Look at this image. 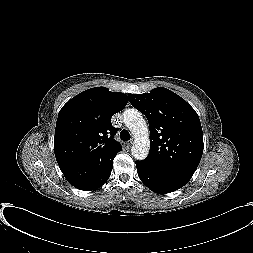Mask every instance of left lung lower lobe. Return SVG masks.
Segmentation results:
<instances>
[{
  "mask_svg": "<svg viewBox=\"0 0 253 253\" xmlns=\"http://www.w3.org/2000/svg\"><path fill=\"white\" fill-rule=\"evenodd\" d=\"M136 166L140 180L155 193L166 194L174 192L186 184L154 169L143 160L136 161Z\"/></svg>",
  "mask_w": 253,
  "mask_h": 253,
  "instance_id": "obj_1",
  "label": "left lung lower lobe"
}]
</instances>
